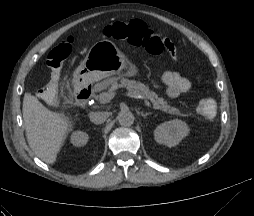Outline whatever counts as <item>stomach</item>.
<instances>
[{"label":"stomach","mask_w":254,"mask_h":216,"mask_svg":"<svg viewBox=\"0 0 254 216\" xmlns=\"http://www.w3.org/2000/svg\"><path fill=\"white\" fill-rule=\"evenodd\" d=\"M128 68L127 76H135L137 67L110 40L96 42L74 73L77 81H98L119 74Z\"/></svg>","instance_id":"obj_1"}]
</instances>
